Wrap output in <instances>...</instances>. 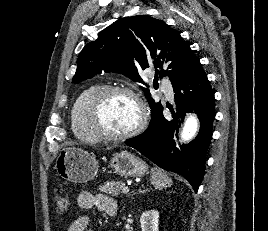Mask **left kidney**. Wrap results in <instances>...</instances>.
<instances>
[{
	"instance_id": "5707ae66",
	"label": "left kidney",
	"mask_w": 268,
	"mask_h": 231,
	"mask_svg": "<svg viewBox=\"0 0 268 231\" xmlns=\"http://www.w3.org/2000/svg\"><path fill=\"white\" fill-rule=\"evenodd\" d=\"M140 223L142 231H158L159 212L157 210L144 212L140 217Z\"/></svg>"
}]
</instances>
